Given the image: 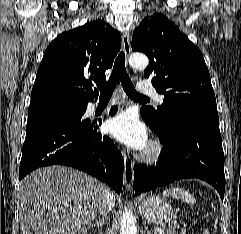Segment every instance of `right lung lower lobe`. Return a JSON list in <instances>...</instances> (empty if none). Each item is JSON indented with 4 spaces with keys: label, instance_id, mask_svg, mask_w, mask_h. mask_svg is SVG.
<instances>
[{
    "label": "right lung lower lobe",
    "instance_id": "98d812e1",
    "mask_svg": "<svg viewBox=\"0 0 241 234\" xmlns=\"http://www.w3.org/2000/svg\"><path fill=\"white\" fill-rule=\"evenodd\" d=\"M84 110L55 117L28 120L19 178L48 165H67L83 170L120 193L124 161L112 140L97 131L102 120L84 119ZM117 112L111 108L110 115Z\"/></svg>",
    "mask_w": 241,
    "mask_h": 234
}]
</instances>
